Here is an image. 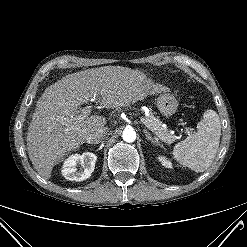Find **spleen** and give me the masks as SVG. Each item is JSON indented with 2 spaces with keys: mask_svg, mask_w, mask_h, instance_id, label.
<instances>
[{
  "mask_svg": "<svg viewBox=\"0 0 247 247\" xmlns=\"http://www.w3.org/2000/svg\"><path fill=\"white\" fill-rule=\"evenodd\" d=\"M221 135V123L214 110H207L197 125V132L176 144L173 158L195 172L205 171L217 153Z\"/></svg>",
  "mask_w": 247,
  "mask_h": 247,
  "instance_id": "obj_1",
  "label": "spleen"
}]
</instances>
